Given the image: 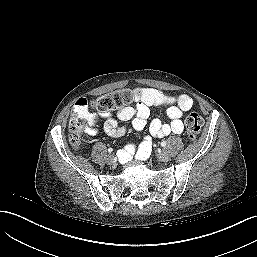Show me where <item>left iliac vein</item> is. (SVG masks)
Wrapping results in <instances>:
<instances>
[{"label":"left iliac vein","instance_id":"obj_1","mask_svg":"<svg viewBox=\"0 0 257 257\" xmlns=\"http://www.w3.org/2000/svg\"><path fill=\"white\" fill-rule=\"evenodd\" d=\"M157 158L161 162H168L170 160V155L168 152H161L157 155Z\"/></svg>","mask_w":257,"mask_h":257}]
</instances>
